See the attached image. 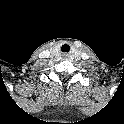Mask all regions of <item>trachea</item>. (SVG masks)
Returning <instances> with one entry per match:
<instances>
[{"label": "trachea", "instance_id": "3493384b", "mask_svg": "<svg viewBox=\"0 0 124 124\" xmlns=\"http://www.w3.org/2000/svg\"><path fill=\"white\" fill-rule=\"evenodd\" d=\"M61 51H62V52H67V53H68V52L70 51V46H69L68 44L62 45Z\"/></svg>", "mask_w": 124, "mask_h": 124}]
</instances>
